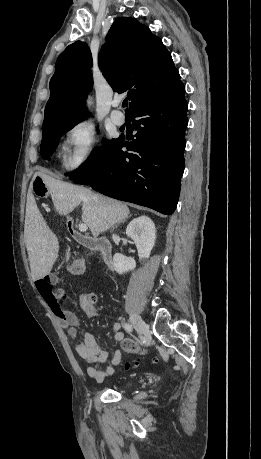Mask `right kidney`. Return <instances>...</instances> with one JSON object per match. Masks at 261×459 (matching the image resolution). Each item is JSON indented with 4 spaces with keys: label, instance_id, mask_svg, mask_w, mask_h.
Wrapping results in <instances>:
<instances>
[{
    "label": "right kidney",
    "instance_id": "obj_1",
    "mask_svg": "<svg viewBox=\"0 0 261 459\" xmlns=\"http://www.w3.org/2000/svg\"><path fill=\"white\" fill-rule=\"evenodd\" d=\"M126 235L134 241L138 250L139 260L144 263L150 257L151 250L155 245L156 229L154 222L145 215L135 218L128 224ZM113 266L118 274H123L135 269L136 262L133 258L126 257L121 253H115Z\"/></svg>",
    "mask_w": 261,
    "mask_h": 459
}]
</instances>
